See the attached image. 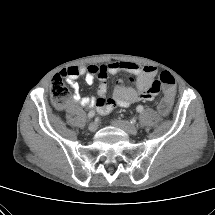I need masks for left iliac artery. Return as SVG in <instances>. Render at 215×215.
I'll list each match as a JSON object with an SVG mask.
<instances>
[{"mask_svg": "<svg viewBox=\"0 0 215 215\" xmlns=\"http://www.w3.org/2000/svg\"><path fill=\"white\" fill-rule=\"evenodd\" d=\"M136 110H137V112L141 113L144 110V108L142 105H138Z\"/></svg>", "mask_w": 215, "mask_h": 215, "instance_id": "obj_1", "label": "left iliac artery"}]
</instances>
